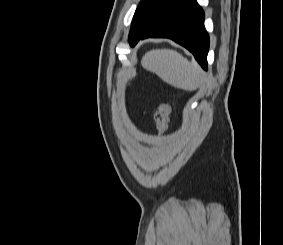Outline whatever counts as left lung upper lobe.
Instances as JSON below:
<instances>
[{
    "instance_id": "left-lung-upper-lobe-1",
    "label": "left lung upper lobe",
    "mask_w": 283,
    "mask_h": 245,
    "mask_svg": "<svg viewBox=\"0 0 283 245\" xmlns=\"http://www.w3.org/2000/svg\"><path fill=\"white\" fill-rule=\"evenodd\" d=\"M175 0H141L135 11L129 42L150 28Z\"/></svg>"
}]
</instances>
